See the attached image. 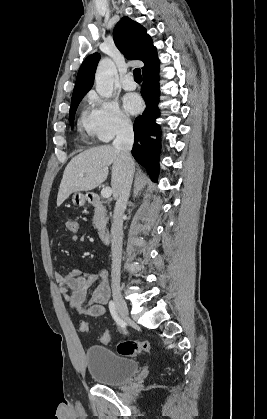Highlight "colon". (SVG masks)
Instances as JSON below:
<instances>
[{"label":"colon","mask_w":267,"mask_h":419,"mask_svg":"<svg viewBox=\"0 0 267 419\" xmlns=\"http://www.w3.org/2000/svg\"><path fill=\"white\" fill-rule=\"evenodd\" d=\"M66 228L70 232V239L79 238V222L77 220H69L66 223ZM82 333H86L89 330V324L83 321L79 327ZM111 340L109 331H105L101 336V342L108 344ZM117 352L122 356H136L141 352L153 353V347L148 341H122L117 345Z\"/></svg>","instance_id":"1"}]
</instances>
